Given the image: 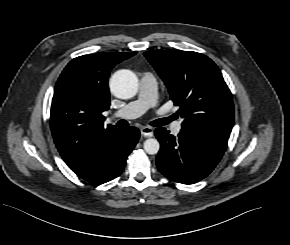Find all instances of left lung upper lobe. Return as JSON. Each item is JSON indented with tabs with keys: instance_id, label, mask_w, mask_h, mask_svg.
Segmentation results:
<instances>
[{
	"instance_id": "5c2ea615",
	"label": "left lung upper lobe",
	"mask_w": 290,
	"mask_h": 245,
	"mask_svg": "<svg viewBox=\"0 0 290 245\" xmlns=\"http://www.w3.org/2000/svg\"><path fill=\"white\" fill-rule=\"evenodd\" d=\"M180 109L182 129L228 143L234 124L231 92L217 65L207 56L180 50L144 53Z\"/></svg>"
}]
</instances>
